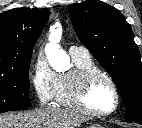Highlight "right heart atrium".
Masks as SVG:
<instances>
[{"label":"right heart atrium","instance_id":"1","mask_svg":"<svg viewBox=\"0 0 142 128\" xmlns=\"http://www.w3.org/2000/svg\"><path fill=\"white\" fill-rule=\"evenodd\" d=\"M29 77L39 103L49 104L56 92L58 75L52 70L42 54H38L33 60Z\"/></svg>","mask_w":142,"mask_h":128}]
</instances>
